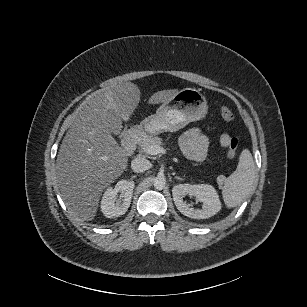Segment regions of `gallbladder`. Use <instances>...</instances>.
Instances as JSON below:
<instances>
[{
	"label": "gallbladder",
	"mask_w": 307,
	"mask_h": 307,
	"mask_svg": "<svg viewBox=\"0 0 307 307\" xmlns=\"http://www.w3.org/2000/svg\"><path fill=\"white\" fill-rule=\"evenodd\" d=\"M106 119H107V127L109 129L110 134L113 135L114 139H119L121 127L123 125L121 118L113 114L112 111H107Z\"/></svg>",
	"instance_id": "obj_1"
}]
</instances>
